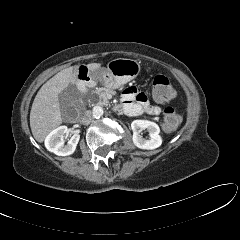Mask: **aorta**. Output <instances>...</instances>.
Masks as SVG:
<instances>
[{"instance_id":"obj_1","label":"aorta","mask_w":240,"mask_h":240,"mask_svg":"<svg viewBox=\"0 0 240 240\" xmlns=\"http://www.w3.org/2000/svg\"><path fill=\"white\" fill-rule=\"evenodd\" d=\"M104 111L101 106H95L92 109V115L94 118H100L103 115Z\"/></svg>"}]
</instances>
